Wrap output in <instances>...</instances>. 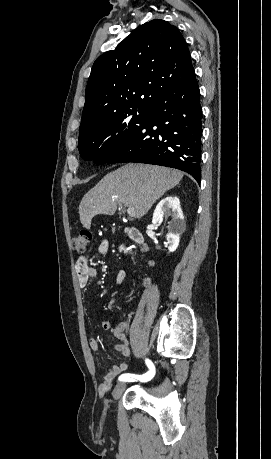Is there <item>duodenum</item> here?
I'll return each instance as SVG.
<instances>
[{
    "mask_svg": "<svg viewBox=\"0 0 271 459\" xmlns=\"http://www.w3.org/2000/svg\"><path fill=\"white\" fill-rule=\"evenodd\" d=\"M125 232L129 236V238L137 244H141L143 242V236L140 231L134 227H127Z\"/></svg>",
    "mask_w": 271,
    "mask_h": 459,
    "instance_id": "1",
    "label": "duodenum"
}]
</instances>
